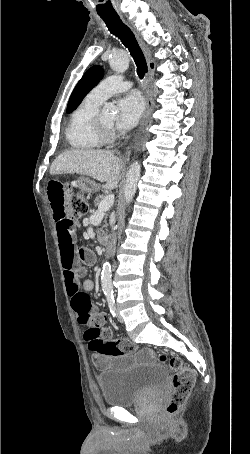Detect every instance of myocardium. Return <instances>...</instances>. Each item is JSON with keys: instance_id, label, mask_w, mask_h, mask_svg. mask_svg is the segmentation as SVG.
<instances>
[{"instance_id": "f54148a6", "label": "myocardium", "mask_w": 250, "mask_h": 454, "mask_svg": "<svg viewBox=\"0 0 250 454\" xmlns=\"http://www.w3.org/2000/svg\"><path fill=\"white\" fill-rule=\"evenodd\" d=\"M93 128L96 135L101 139L103 143L110 142L115 139L116 133L114 127L106 126L102 119L101 114L98 111L93 118Z\"/></svg>"}]
</instances>
